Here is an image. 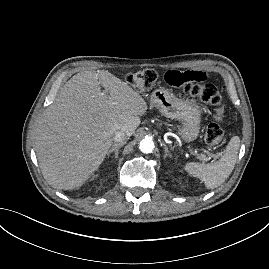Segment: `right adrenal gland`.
Returning a JSON list of instances; mask_svg holds the SVG:
<instances>
[{
  "mask_svg": "<svg viewBox=\"0 0 269 269\" xmlns=\"http://www.w3.org/2000/svg\"><path fill=\"white\" fill-rule=\"evenodd\" d=\"M125 143H117L112 146V148L108 151L107 156L109 158L111 153H115V158H118L119 149L124 145Z\"/></svg>",
  "mask_w": 269,
  "mask_h": 269,
  "instance_id": "1",
  "label": "right adrenal gland"
}]
</instances>
